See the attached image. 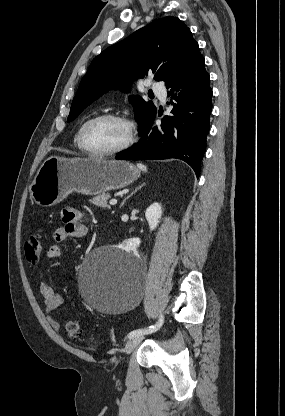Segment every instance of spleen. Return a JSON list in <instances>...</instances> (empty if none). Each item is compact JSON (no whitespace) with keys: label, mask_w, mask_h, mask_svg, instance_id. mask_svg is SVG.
<instances>
[{"label":"spleen","mask_w":285,"mask_h":416,"mask_svg":"<svg viewBox=\"0 0 285 416\" xmlns=\"http://www.w3.org/2000/svg\"><path fill=\"white\" fill-rule=\"evenodd\" d=\"M139 170H142V172H147L146 166H143V164H137Z\"/></svg>","instance_id":"1"}]
</instances>
